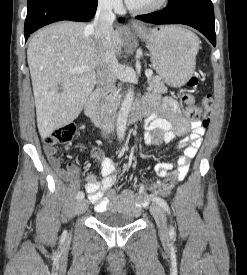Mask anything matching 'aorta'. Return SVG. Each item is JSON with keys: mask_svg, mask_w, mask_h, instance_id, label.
I'll return each instance as SVG.
<instances>
[{"mask_svg": "<svg viewBox=\"0 0 247 275\" xmlns=\"http://www.w3.org/2000/svg\"><path fill=\"white\" fill-rule=\"evenodd\" d=\"M134 98V91L133 87L128 89L126 96L121 104V108L119 110L117 116V124H116V131L117 136L119 139H123L126 131V125L129 113L131 111L132 103Z\"/></svg>", "mask_w": 247, "mask_h": 275, "instance_id": "aorta-1", "label": "aorta"}]
</instances>
